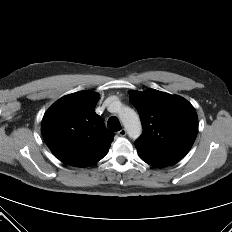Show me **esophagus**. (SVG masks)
Wrapping results in <instances>:
<instances>
[{
  "label": "esophagus",
  "instance_id": "34e87169",
  "mask_svg": "<svg viewBox=\"0 0 232 232\" xmlns=\"http://www.w3.org/2000/svg\"><path fill=\"white\" fill-rule=\"evenodd\" d=\"M126 134H127V132H126V130L124 128L121 129L120 131H118V135L121 136V137L126 136Z\"/></svg>",
  "mask_w": 232,
  "mask_h": 232
}]
</instances>
